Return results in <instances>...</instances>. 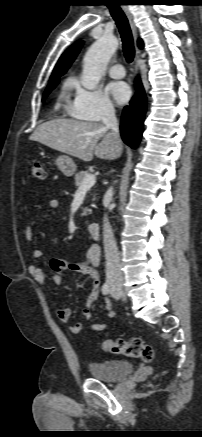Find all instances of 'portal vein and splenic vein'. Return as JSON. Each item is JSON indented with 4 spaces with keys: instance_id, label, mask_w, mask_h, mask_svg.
Segmentation results:
<instances>
[{
    "instance_id": "portal-vein-and-splenic-vein-1",
    "label": "portal vein and splenic vein",
    "mask_w": 202,
    "mask_h": 437,
    "mask_svg": "<svg viewBox=\"0 0 202 437\" xmlns=\"http://www.w3.org/2000/svg\"><path fill=\"white\" fill-rule=\"evenodd\" d=\"M96 182V176L95 175H88L84 178L82 184L79 186L78 190H88L90 189Z\"/></svg>"
}]
</instances>
